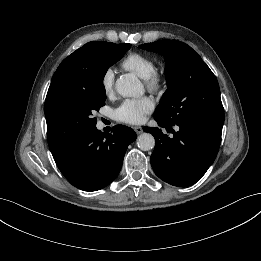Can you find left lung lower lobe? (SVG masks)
<instances>
[{"instance_id":"1","label":"left lung lower lobe","mask_w":261,"mask_h":261,"mask_svg":"<svg viewBox=\"0 0 261 261\" xmlns=\"http://www.w3.org/2000/svg\"><path fill=\"white\" fill-rule=\"evenodd\" d=\"M159 126L171 125L155 119ZM224 120H201L177 124L179 131L169 138L158 128L145 127L155 138L150 157L155 174L179 187L195 184L214 162L219 150ZM172 129V128H171Z\"/></svg>"}]
</instances>
